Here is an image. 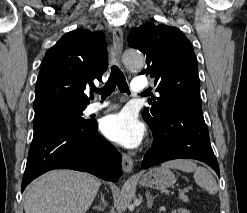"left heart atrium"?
I'll list each match as a JSON object with an SVG mask.
<instances>
[{
  "mask_svg": "<svg viewBox=\"0 0 247 213\" xmlns=\"http://www.w3.org/2000/svg\"><path fill=\"white\" fill-rule=\"evenodd\" d=\"M100 129L109 140L126 148L139 146L145 134L143 123L129 110L105 116Z\"/></svg>",
  "mask_w": 247,
  "mask_h": 213,
  "instance_id": "39dd6f15",
  "label": "left heart atrium"
}]
</instances>
